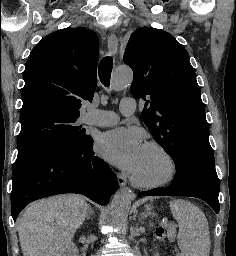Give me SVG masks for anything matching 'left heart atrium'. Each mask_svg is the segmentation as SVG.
Returning a JSON list of instances; mask_svg holds the SVG:
<instances>
[{
    "mask_svg": "<svg viewBox=\"0 0 236 256\" xmlns=\"http://www.w3.org/2000/svg\"><path fill=\"white\" fill-rule=\"evenodd\" d=\"M145 148L136 128H117L105 133L99 141L100 153L114 166L133 173Z\"/></svg>",
    "mask_w": 236,
    "mask_h": 256,
    "instance_id": "left-heart-atrium-1",
    "label": "left heart atrium"
}]
</instances>
